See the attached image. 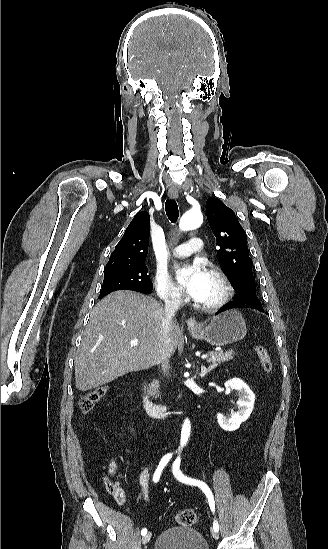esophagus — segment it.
Wrapping results in <instances>:
<instances>
[{"label":"esophagus","mask_w":328,"mask_h":549,"mask_svg":"<svg viewBox=\"0 0 328 549\" xmlns=\"http://www.w3.org/2000/svg\"><path fill=\"white\" fill-rule=\"evenodd\" d=\"M168 196L170 197V199H176L178 197L177 188L171 187L168 190ZM187 326L189 330H196L198 327L196 319L194 317H190L189 319H187Z\"/></svg>","instance_id":"obj_1"}]
</instances>
